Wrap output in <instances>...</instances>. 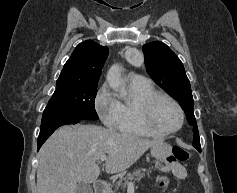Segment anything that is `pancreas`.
Returning a JSON list of instances; mask_svg holds the SVG:
<instances>
[{
	"label": "pancreas",
	"mask_w": 237,
	"mask_h": 193,
	"mask_svg": "<svg viewBox=\"0 0 237 193\" xmlns=\"http://www.w3.org/2000/svg\"><path fill=\"white\" fill-rule=\"evenodd\" d=\"M145 172H146V169L144 168L134 170L132 173L127 174V177L123 179L124 180L123 183H122V180H120L115 185L117 188L121 186L124 190L130 182L140 181L141 178L145 176ZM112 193H115V192H112Z\"/></svg>",
	"instance_id": "pancreas-1"
}]
</instances>
